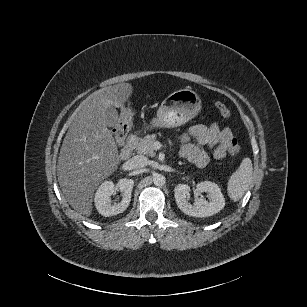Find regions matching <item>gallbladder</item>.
<instances>
[{
	"label": "gallbladder",
	"mask_w": 307,
	"mask_h": 307,
	"mask_svg": "<svg viewBox=\"0 0 307 307\" xmlns=\"http://www.w3.org/2000/svg\"><path fill=\"white\" fill-rule=\"evenodd\" d=\"M105 112L107 116L106 125L109 129H113L117 125L116 120L118 118V113L112 106H106Z\"/></svg>",
	"instance_id": "bac80fb5"
}]
</instances>
